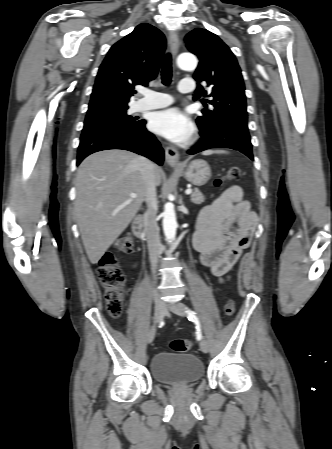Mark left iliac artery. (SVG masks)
<instances>
[{"mask_svg":"<svg viewBox=\"0 0 332 449\" xmlns=\"http://www.w3.org/2000/svg\"><path fill=\"white\" fill-rule=\"evenodd\" d=\"M187 314H188L189 320L194 322L195 325H196V329H197L196 338H197V340H201L202 339V332H201V325H200L198 317L190 309H187Z\"/></svg>","mask_w":332,"mask_h":449,"instance_id":"obj_1","label":"left iliac artery"}]
</instances>
